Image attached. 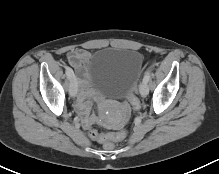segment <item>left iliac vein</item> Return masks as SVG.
<instances>
[{"label":"left iliac vein","instance_id":"left-iliac-vein-1","mask_svg":"<svg viewBox=\"0 0 219 174\" xmlns=\"http://www.w3.org/2000/svg\"><path fill=\"white\" fill-rule=\"evenodd\" d=\"M139 93L141 96H146L148 94V86L144 81L139 86Z\"/></svg>","mask_w":219,"mask_h":174}]
</instances>
